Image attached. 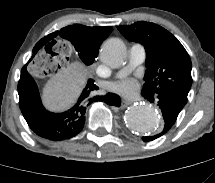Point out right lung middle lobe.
<instances>
[{
	"label": "right lung middle lobe",
	"instance_id": "obj_1",
	"mask_svg": "<svg viewBox=\"0 0 215 183\" xmlns=\"http://www.w3.org/2000/svg\"><path fill=\"white\" fill-rule=\"evenodd\" d=\"M75 29L71 30L69 35L66 37L75 47L76 51L79 53V57L86 64L90 65L95 60V55L89 53L82 41L83 31L79 24H75Z\"/></svg>",
	"mask_w": 215,
	"mask_h": 183
}]
</instances>
